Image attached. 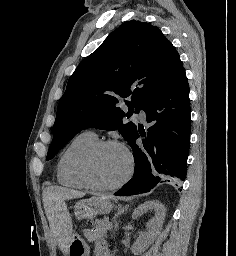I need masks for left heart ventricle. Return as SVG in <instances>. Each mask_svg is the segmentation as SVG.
<instances>
[{
  "instance_id": "left-heart-ventricle-1",
  "label": "left heart ventricle",
  "mask_w": 236,
  "mask_h": 256,
  "mask_svg": "<svg viewBox=\"0 0 236 256\" xmlns=\"http://www.w3.org/2000/svg\"><path fill=\"white\" fill-rule=\"evenodd\" d=\"M127 171V157L118 147H108L98 154L92 164L94 181L100 186L118 183Z\"/></svg>"
}]
</instances>
